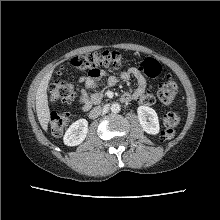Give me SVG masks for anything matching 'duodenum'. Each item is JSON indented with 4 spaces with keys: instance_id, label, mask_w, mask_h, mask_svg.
Here are the masks:
<instances>
[{
    "instance_id": "obj_1",
    "label": "duodenum",
    "mask_w": 220,
    "mask_h": 220,
    "mask_svg": "<svg viewBox=\"0 0 220 220\" xmlns=\"http://www.w3.org/2000/svg\"><path fill=\"white\" fill-rule=\"evenodd\" d=\"M121 100H122L123 102H128V101H130L131 99H130V97H128V96H122V97H121ZM102 110H103V107H102V106H98V107L93 108V109L90 111V113H89V117H90L91 119L97 118V117L101 114Z\"/></svg>"
}]
</instances>
